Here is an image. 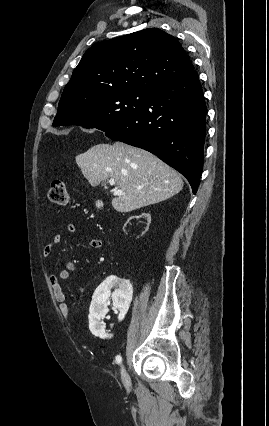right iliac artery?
<instances>
[{
    "label": "right iliac artery",
    "instance_id": "1",
    "mask_svg": "<svg viewBox=\"0 0 269 426\" xmlns=\"http://www.w3.org/2000/svg\"><path fill=\"white\" fill-rule=\"evenodd\" d=\"M121 361H122L121 356H120V355H117V356H116V363H117V364H120V363H121Z\"/></svg>",
    "mask_w": 269,
    "mask_h": 426
}]
</instances>
